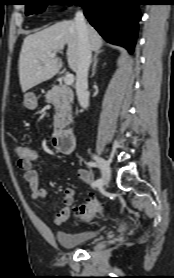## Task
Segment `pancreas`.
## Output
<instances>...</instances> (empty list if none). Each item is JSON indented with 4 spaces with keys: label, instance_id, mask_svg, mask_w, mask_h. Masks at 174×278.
I'll list each match as a JSON object with an SVG mask.
<instances>
[{
    "label": "pancreas",
    "instance_id": "obj_1",
    "mask_svg": "<svg viewBox=\"0 0 174 278\" xmlns=\"http://www.w3.org/2000/svg\"><path fill=\"white\" fill-rule=\"evenodd\" d=\"M45 98L55 108V123L65 125L67 119L71 118V104L74 98L72 90L66 85H57L46 93Z\"/></svg>",
    "mask_w": 174,
    "mask_h": 278
}]
</instances>
